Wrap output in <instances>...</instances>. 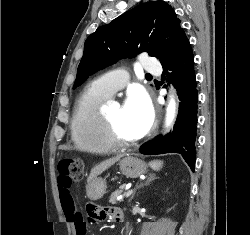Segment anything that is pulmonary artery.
<instances>
[{"instance_id":"obj_1","label":"pulmonary artery","mask_w":250,"mask_h":235,"mask_svg":"<svg viewBox=\"0 0 250 235\" xmlns=\"http://www.w3.org/2000/svg\"><path fill=\"white\" fill-rule=\"evenodd\" d=\"M141 65L148 73L156 74L161 71L156 59L150 56H146L141 61ZM127 81L128 76L125 72L115 71L97 78L92 85L96 90L111 97L118 90L122 89Z\"/></svg>"}]
</instances>
